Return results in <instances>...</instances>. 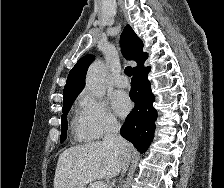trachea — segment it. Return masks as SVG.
I'll return each mask as SVG.
<instances>
[{
	"label": "trachea",
	"instance_id": "obj_1",
	"mask_svg": "<svg viewBox=\"0 0 224 188\" xmlns=\"http://www.w3.org/2000/svg\"><path fill=\"white\" fill-rule=\"evenodd\" d=\"M125 74H126L127 76L131 77V75H132V68H131L130 66H127V67L125 68Z\"/></svg>",
	"mask_w": 224,
	"mask_h": 188
}]
</instances>
